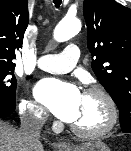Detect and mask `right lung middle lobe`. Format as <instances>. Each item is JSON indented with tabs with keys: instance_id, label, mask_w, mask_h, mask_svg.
<instances>
[{
	"instance_id": "1",
	"label": "right lung middle lobe",
	"mask_w": 131,
	"mask_h": 151,
	"mask_svg": "<svg viewBox=\"0 0 131 151\" xmlns=\"http://www.w3.org/2000/svg\"><path fill=\"white\" fill-rule=\"evenodd\" d=\"M14 66H0V101L15 103L16 77Z\"/></svg>"
}]
</instances>
